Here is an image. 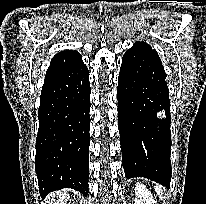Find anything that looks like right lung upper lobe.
I'll return each instance as SVG.
<instances>
[{
    "label": "right lung upper lobe",
    "instance_id": "cb5924a9",
    "mask_svg": "<svg viewBox=\"0 0 206 204\" xmlns=\"http://www.w3.org/2000/svg\"><path fill=\"white\" fill-rule=\"evenodd\" d=\"M81 59V55L77 51H62L53 57L46 75L63 69Z\"/></svg>",
    "mask_w": 206,
    "mask_h": 204
}]
</instances>
